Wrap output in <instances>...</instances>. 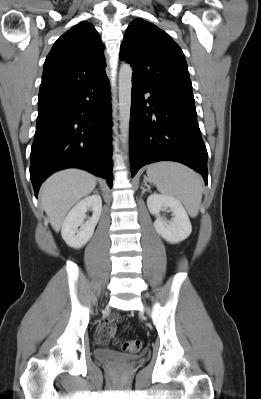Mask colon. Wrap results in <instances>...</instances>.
I'll return each mask as SVG.
<instances>
[{"label":"colon","instance_id":"1","mask_svg":"<svg viewBox=\"0 0 261 399\" xmlns=\"http://www.w3.org/2000/svg\"><path fill=\"white\" fill-rule=\"evenodd\" d=\"M122 348L129 353H138L142 349V341L138 339L126 340L122 343Z\"/></svg>","mask_w":261,"mask_h":399}]
</instances>
